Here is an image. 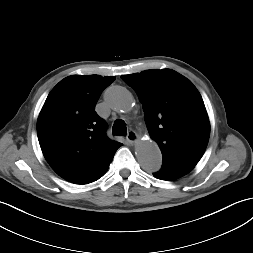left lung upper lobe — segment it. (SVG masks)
<instances>
[{"label": "left lung upper lobe", "instance_id": "obj_1", "mask_svg": "<svg viewBox=\"0 0 253 253\" xmlns=\"http://www.w3.org/2000/svg\"><path fill=\"white\" fill-rule=\"evenodd\" d=\"M141 103L150 137L162 152L163 162L195 166L210 135L202 97L190 80L171 69L123 75Z\"/></svg>", "mask_w": 253, "mask_h": 253}]
</instances>
